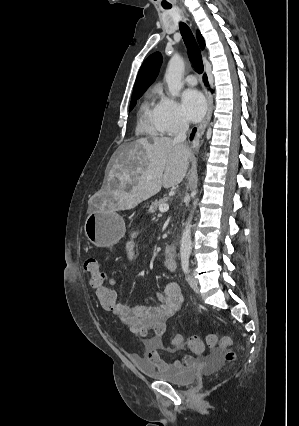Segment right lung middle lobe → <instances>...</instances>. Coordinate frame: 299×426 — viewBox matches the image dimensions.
Wrapping results in <instances>:
<instances>
[{
    "label": "right lung middle lobe",
    "instance_id": "obj_1",
    "mask_svg": "<svg viewBox=\"0 0 299 426\" xmlns=\"http://www.w3.org/2000/svg\"><path fill=\"white\" fill-rule=\"evenodd\" d=\"M143 92L144 91H138V92H134L132 94V99H131L129 110H132V108L136 105L137 99L140 98V96L143 94Z\"/></svg>",
    "mask_w": 299,
    "mask_h": 426
}]
</instances>
